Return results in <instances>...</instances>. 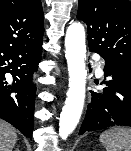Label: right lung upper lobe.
<instances>
[{"instance_id": "cb5924a9", "label": "right lung upper lobe", "mask_w": 131, "mask_h": 151, "mask_svg": "<svg viewBox=\"0 0 131 151\" xmlns=\"http://www.w3.org/2000/svg\"><path fill=\"white\" fill-rule=\"evenodd\" d=\"M43 17L40 0H0V46L42 42Z\"/></svg>"}]
</instances>
